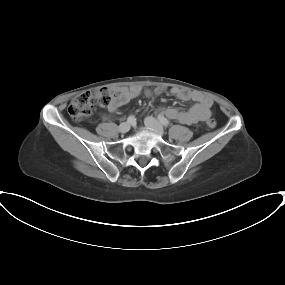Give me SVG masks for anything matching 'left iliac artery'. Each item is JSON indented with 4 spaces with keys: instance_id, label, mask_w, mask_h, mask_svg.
Segmentation results:
<instances>
[{
    "instance_id": "1",
    "label": "left iliac artery",
    "mask_w": 285,
    "mask_h": 285,
    "mask_svg": "<svg viewBox=\"0 0 285 285\" xmlns=\"http://www.w3.org/2000/svg\"><path fill=\"white\" fill-rule=\"evenodd\" d=\"M158 119L163 126L167 127L169 125V121L164 116H158Z\"/></svg>"
}]
</instances>
